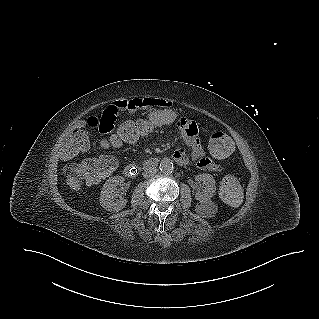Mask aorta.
<instances>
[{
  "mask_svg": "<svg viewBox=\"0 0 319 319\" xmlns=\"http://www.w3.org/2000/svg\"><path fill=\"white\" fill-rule=\"evenodd\" d=\"M159 169L164 174H171L174 170V166L170 159H164L160 162Z\"/></svg>",
  "mask_w": 319,
  "mask_h": 319,
  "instance_id": "1",
  "label": "aorta"
}]
</instances>
